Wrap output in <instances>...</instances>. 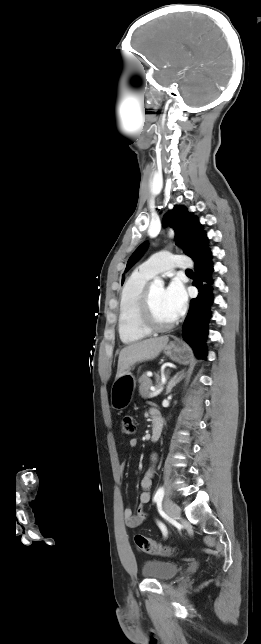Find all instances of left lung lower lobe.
<instances>
[{
	"label": "left lung lower lobe",
	"instance_id": "1",
	"mask_svg": "<svg viewBox=\"0 0 261 644\" xmlns=\"http://www.w3.org/2000/svg\"><path fill=\"white\" fill-rule=\"evenodd\" d=\"M212 254L200 262H195V280L193 285L199 290L198 297L190 300V308L183 324V338L193 348L196 357L206 359V339L208 323L212 317L213 263Z\"/></svg>",
	"mask_w": 261,
	"mask_h": 644
}]
</instances>
